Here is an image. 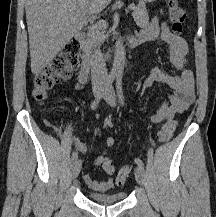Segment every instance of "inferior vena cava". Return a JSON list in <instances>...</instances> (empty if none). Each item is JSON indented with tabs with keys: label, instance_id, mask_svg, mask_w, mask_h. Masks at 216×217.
<instances>
[{
	"label": "inferior vena cava",
	"instance_id": "602c4592",
	"mask_svg": "<svg viewBox=\"0 0 216 217\" xmlns=\"http://www.w3.org/2000/svg\"><path fill=\"white\" fill-rule=\"evenodd\" d=\"M91 78L94 88H101L108 82L106 64L100 49H94L91 57Z\"/></svg>",
	"mask_w": 216,
	"mask_h": 217
}]
</instances>
